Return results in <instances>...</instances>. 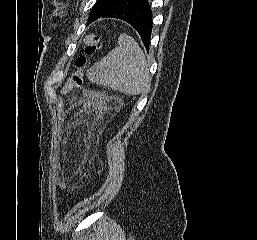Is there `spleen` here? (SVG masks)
Segmentation results:
<instances>
[{
    "instance_id": "obj_1",
    "label": "spleen",
    "mask_w": 257,
    "mask_h": 240,
    "mask_svg": "<svg viewBox=\"0 0 257 240\" xmlns=\"http://www.w3.org/2000/svg\"><path fill=\"white\" fill-rule=\"evenodd\" d=\"M118 46L96 63L88 73L89 79L119 91L137 95L147 92L150 87L149 64L137 42L128 34L118 38Z\"/></svg>"
}]
</instances>
